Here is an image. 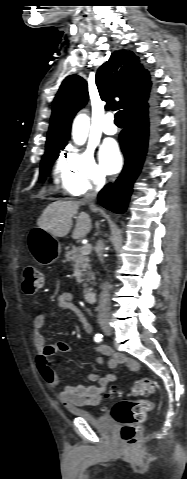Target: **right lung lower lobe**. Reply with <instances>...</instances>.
I'll list each match as a JSON object with an SVG mask.
<instances>
[{"mask_svg":"<svg viewBox=\"0 0 187 479\" xmlns=\"http://www.w3.org/2000/svg\"><path fill=\"white\" fill-rule=\"evenodd\" d=\"M156 106L153 95L145 107L125 114L126 128L120 134L125 166L118 179L107 184L98 195L100 204L115 213L122 214L127 208L133 184L147 152L150 128L153 129L157 124Z\"/></svg>","mask_w":187,"mask_h":479,"instance_id":"1","label":"right lung lower lobe"}]
</instances>
